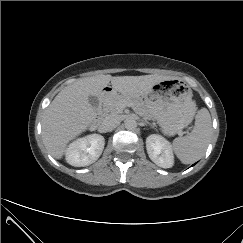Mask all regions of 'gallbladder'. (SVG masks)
I'll use <instances>...</instances> for the list:
<instances>
[{
  "instance_id": "gallbladder-1",
  "label": "gallbladder",
  "mask_w": 243,
  "mask_h": 243,
  "mask_svg": "<svg viewBox=\"0 0 243 243\" xmlns=\"http://www.w3.org/2000/svg\"><path fill=\"white\" fill-rule=\"evenodd\" d=\"M89 103L92 105V107L97 108L99 105V100L95 96H89Z\"/></svg>"
}]
</instances>
